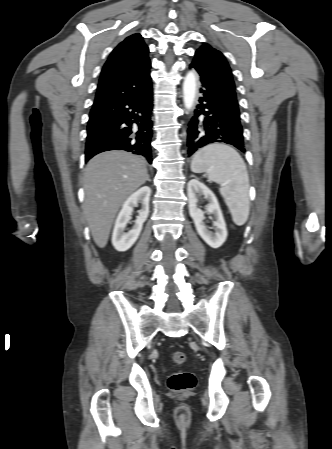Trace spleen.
Returning a JSON list of instances; mask_svg holds the SVG:
<instances>
[{"label":"spleen","instance_id":"3e777b00","mask_svg":"<svg viewBox=\"0 0 332 449\" xmlns=\"http://www.w3.org/2000/svg\"><path fill=\"white\" fill-rule=\"evenodd\" d=\"M194 173H206L210 181L221 184L220 194L232 215L242 226L250 212L249 177L246 165L232 147L214 143L198 150L191 162Z\"/></svg>","mask_w":332,"mask_h":449}]
</instances>
